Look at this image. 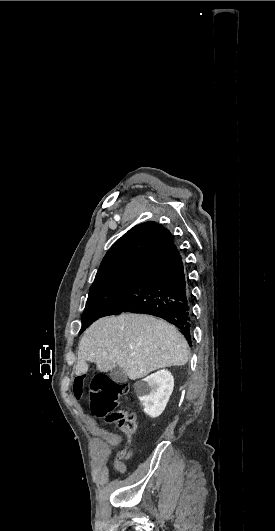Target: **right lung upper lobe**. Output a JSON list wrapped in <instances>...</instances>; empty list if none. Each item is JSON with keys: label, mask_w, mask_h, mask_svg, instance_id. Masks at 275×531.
I'll return each instance as SVG.
<instances>
[{"label": "right lung upper lobe", "mask_w": 275, "mask_h": 531, "mask_svg": "<svg viewBox=\"0 0 275 531\" xmlns=\"http://www.w3.org/2000/svg\"><path fill=\"white\" fill-rule=\"evenodd\" d=\"M172 241L170 231L153 221L134 226L107 251L95 280L122 269L147 266Z\"/></svg>", "instance_id": "obj_1"}]
</instances>
